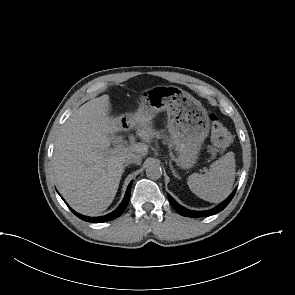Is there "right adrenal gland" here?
<instances>
[{
	"mask_svg": "<svg viewBox=\"0 0 295 295\" xmlns=\"http://www.w3.org/2000/svg\"><path fill=\"white\" fill-rule=\"evenodd\" d=\"M128 166V164H125L124 167Z\"/></svg>",
	"mask_w": 295,
	"mask_h": 295,
	"instance_id": "obj_1",
	"label": "right adrenal gland"
}]
</instances>
